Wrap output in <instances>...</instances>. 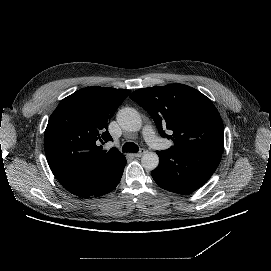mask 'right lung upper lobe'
I'll use <instances>...</instances> for the list:
<instances>
[{
	"instance_id": "1",
	"label": "right lung upper lobe",
	"mask_w": 271,
	"mask_h": 271,
	"mask_svg": "<svg viewBox=\"0 0 271 271\" xmlns=\"http://www.w3.org/2000/svg\"><path fill=\"white\" fill-rule=\"evenodd\" d=\"M131 91L86 87L64 98L49 118L44 149L49 167L71 193L107 182L125 161L116 148L98 146L112 140L107 123Z\"/></svg>"
}]
</instances>
